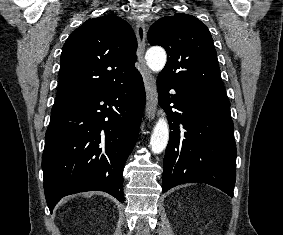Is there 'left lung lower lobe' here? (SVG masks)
Instances as JSON below:
<instances>
[{"mask_svg":"<svg viewBox=\"0 0 283 235\" xmlns=\"http://www.w3.org/2000/svg\"><path fill=\"white\" fill-rule=\"evenodd\" d=\"M157 88L159 103L167 112L171 129L164 157L162 191L201 182L233 197L236 145L228 98L198 92L161 75ZM170 89L176 94L170 95ZM171 103L179 112L171 110Z\"/></svg>","mask_w":283,"mask_h":235,"instance_id":"left-lung-lower-lobe-1","label":"left lung lower lobe"}]
</instances>
